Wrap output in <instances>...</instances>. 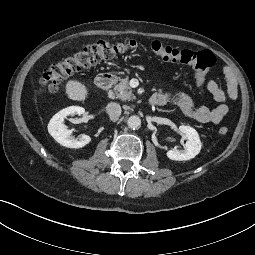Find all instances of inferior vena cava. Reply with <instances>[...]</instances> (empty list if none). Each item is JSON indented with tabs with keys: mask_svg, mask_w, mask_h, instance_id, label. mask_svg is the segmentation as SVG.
Masks as SVG:
<instances>
[{
	"mask_svg": "<svg viewBox=\"0 0 255 255\" xmlns=\"http://www.w3.org/2000/svg\"><path fill=\"white\" fill-rule=\"evenodd\" d=\"M106 110L111 120H117L121 114V106L115 102L109 103Z\"/></svg>",
	"mask_w": 255,
	"mask_h": 255,
	"instance_id": "1",
	"label": "inferior vena cava"
}]
</instances>
